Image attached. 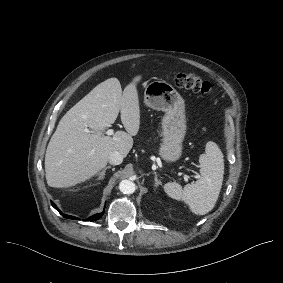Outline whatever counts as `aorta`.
<instances>
[{"label":"aorta","mask_w":283,"mask_h":283,"mask_svg":"<svg viewBox=\"0 0 283 283\" xmlns=\"http://www.w3.org/2000/svg\"><path fill=\"white\" fill-rule=\"evenodd\" d=\"M119 189L123 194H132L136 190V185L131 180L125 179L120 182Z\"/></svg>","instance_id":"aorta-1"}]
</instances>
